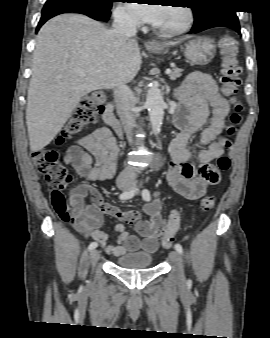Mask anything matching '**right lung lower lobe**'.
Returning a JSON list of instances; mask_svg holds the SVG:
<instances>
[{
	"instance_id": "1",
	"label": "right lung lower lobe",
	"mask_w": 270,
	"mask_h": 338,
	"mask_svg": "<svg viewBox=\"0 0 270 338\" xmlns=\"http://www.w3.org/2000/svg\"><path fill=\"white\" fill-rule=\"evenodd\" d=\"M68 12H76L80 14L87 15L95 20L104 21L107 20L110 16L109 9H101L93 6L86 5H63V4H54V5H45L42 10V16L38 23L36 32L40 27L50 18Z\"/></svg>"
}]
</instances>
